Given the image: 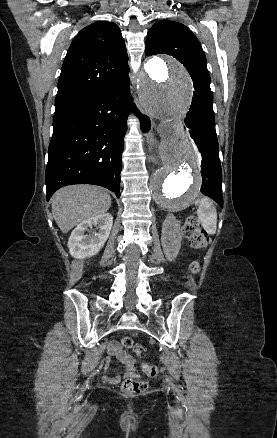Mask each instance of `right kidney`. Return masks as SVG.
<instances>
[{
    "label": "right kidney",
    "instance_id": "ca27d5eb",
    "mask_svg": "<svg viewBox=\"0 0 277 438\" xmlns=\"http://www.w3.org/2000/svg\"><path fill=\"white\" fill-rule=\"evenodd\" d=\"M113 224V216L111 214H99L94 218H88L81 224H78L71 232L68 240V248L73 258H91L100 252L105 242L109 238ZM95 226L98 232H91L86 236L88 228Z\"/></svg>",
    "mask_w": 277,
    "mask_h": 438
}]
</instances>
